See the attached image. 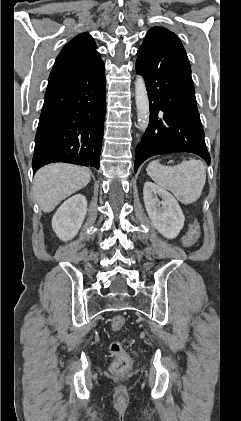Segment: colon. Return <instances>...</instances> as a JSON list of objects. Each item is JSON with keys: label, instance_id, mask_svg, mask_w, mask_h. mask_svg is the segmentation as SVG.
I'll use <instances>...</instances> for the list:
<instances>
[{"label": "colon", "instance_id": "obj_1", "mask_svg": "<svg viewBox=\"0 0 241 421\" xmlns=\"http://www.w3.org/2000/svg\"><path fill=\"white\" fill-rule=\"evenodd\" d=\"M200 233V225L195 221L188 232L182 238L183 247H191L197 240ZM125 325V318L121 315L115 316L111 321V329L113 332H119ZM109 351L114 357L111 364V371L114 374H122L128 370L131 364V358L124 349L120 341L114 340L109 346Z\"/></svg>", "mask_w": 241, "mask_h": 421}]
</instances>
